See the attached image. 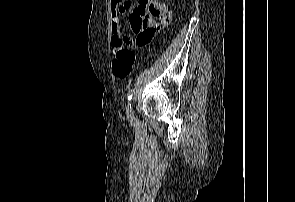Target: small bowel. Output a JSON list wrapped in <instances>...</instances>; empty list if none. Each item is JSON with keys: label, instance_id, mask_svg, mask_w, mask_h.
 Returning a JSON list of instances; mask_svg holds the SVG:
<instances>
[{"label": "small bowel", "instance_id": "c3829d8e", "mask_svg": "<svg viewBox=\"0 0 295 202\" xmlns=\"http://www.w3.org/2000/svg\"><path fill=\"white\" fill-rule=\"evenodd\" d=\"M127 11L129 25L137 36L138 45L147 43L158 28L169 22L171 15L169 7L158 0H138L132 9L129 0H111V44L115 50L123 45L120 21Z\"/></svg>", "mask_w": 295, "mask_h": 202}]
</instances>
